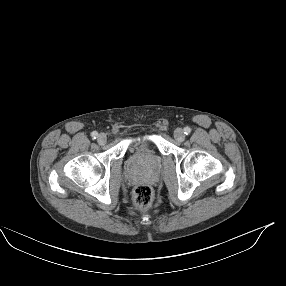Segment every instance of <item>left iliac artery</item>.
Segmentation results:
<instances>
[{
	"instance_id": "left-iliac-artery-1",
	"label": "left iliac artery",
	"mask_w": 286,
	"mask_h": 286,
	"mask_svg": "<svg viewBox=\"0 0 286 286\" xmlns=\"http://www.w3.org/2000/svg\"><path fill=\"white\" fill-rule=\"evenodd\" d=\"M184 133H185L186 135L190 134V133H191V129H190L189 127H185V128H184Z\"/></svg>"
}]
</instances>
